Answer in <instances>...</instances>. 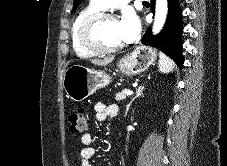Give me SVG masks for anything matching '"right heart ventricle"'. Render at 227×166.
Returning a JSON list of instances; mask_svg holds the SVG:
<instances>
[{"label":"right heart ventricle","instance_id":"1","mask_svg":"<svg viewBox=\"0 0 227 166\" xmlns=\"http://www.w3.org/2000/svg\"><path fill=\"white\" fill-rule=\"evenodd\" d=\"M103 11L102 8L97 6L93 1H91L84 9H82L75 17L72 27H71V45L73 51L76 53V55L84 58L92 57L94 55L93 52L90 50L84 48L78 40V28L81 24V22L89 15Z\"/></svg>","mask_w":227,"mask_h":166}]
</instances>
